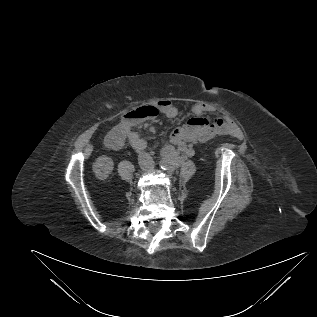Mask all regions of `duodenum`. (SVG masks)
Returning a JSON list of instances; mask_svg holds the SVG:
<instances>
[{
	"mask_svg": "<svg viewBox=\"0 0 317 317\" xmlns=\"http://www.w3.org/2000/svg\"><path fill=\"white\" fill-rule=\"evenodd\" d=\"M123 140L120 135H113L109 140V146L113 149H118L120 144H122Z\"/></svg>",
	"mask_w": 317,
	"mask_h": 317,
	"instance_id": "duodenum-1",
	"label": "duodenum"
}]
</instances>
